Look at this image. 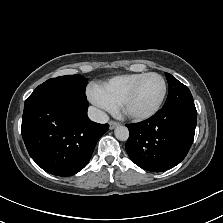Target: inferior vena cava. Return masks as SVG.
Returning a JSON list of instances; mask_svg holds the SVG:
<instances>
[{
	"mask_svg": "<svg viewBox=\"0 0 223 223\" xmlns=\"http://www.w3.org/2000/svg\"><path fill=\"white\" fill-rule=\"evenodd\" d=\"M88 117L90 120L98 123H106L109 120L108 115L94 106L88 108Z\"/></svg>",
	"mask_w": 223,
	"mask_h": 223,
	"instance_id": "602c4592",
	"label": "inferior vena cava"
}]
</instances>
